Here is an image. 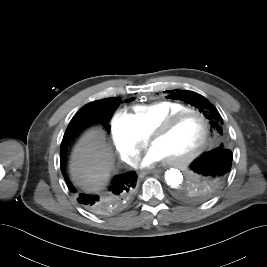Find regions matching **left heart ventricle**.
I'll return each instance as SVG.
<instances>
[{"label":"left heart ventricle","instance_id":"left-heart-ventricle-1","mask_svg":"<svg viewBox=\"0 0 267 267\" xmlns=\"http://www.w3.org/2000/svg\"><path fill=\"white\" fill-rule=\"evenodd\" d=\"M203 123L198 116L188 115L166 134L156 137L152 145L159 148L167 159L180 158L191 153L203 136Z\"/></svg>","mask_w":267,"mask_h":267}]
</instances>
